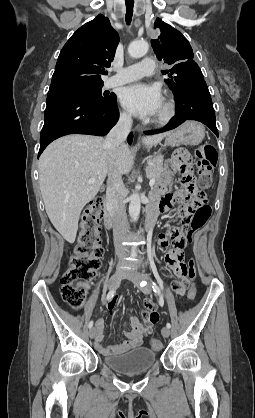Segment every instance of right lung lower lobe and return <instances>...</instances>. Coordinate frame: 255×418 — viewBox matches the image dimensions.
Listing matches in <instances>:
<instances>
[{
    "label": "right lung lower lobe",
    "instance_id": "1",
    "mask_svg": "<svg viewBox=\"0 0 255 418\" xmlns=\"http://www.w3.org/2000/svg\"><path fill=\"white\" fill-rule=\"evenodd\" d=\"M118 118L115 95L109 102H102L75 93L48 94L38 157L48 144L64 135L104 136L116 124ZM132 139L133 135L130 134L129 144L132 143Z\"/></svg>",
    "mask_w": 255,
    "mask_h": 418
}]
</instances>
